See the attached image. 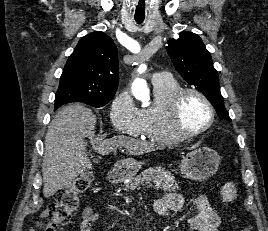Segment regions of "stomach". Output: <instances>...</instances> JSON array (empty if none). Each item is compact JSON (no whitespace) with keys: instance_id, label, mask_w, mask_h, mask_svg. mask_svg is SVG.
<instances>
[{"instance_id":"obj_1","label":"stomach","mask_w":268,"mask_h":231,"mask_svg":"<svg viewBox=\"0 0 268 231\" xmlns=\"http://www.w3.org/2000/svg\"><path fill=\"white\" fill-rule=\"evenodd\" d=\"M220 156L214 150L203 147L191 151L183 157L180 163L181 173L192 180H205L213 176L219 167ZM142 162L128 158L119 161L123 176L132 177L137 174L141 168Z\"/></svg>"}]
</instances>
